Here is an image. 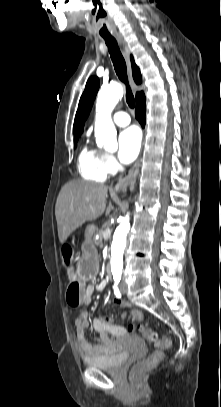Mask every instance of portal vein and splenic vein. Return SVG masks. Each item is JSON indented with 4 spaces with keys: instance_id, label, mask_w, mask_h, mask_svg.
<instances>
[{
    "instance_id": "obj_1",
    "label": "portal vein and splenic vein",
    "mask_w": 221,
    "mask_h": 407,
    "mask_svg": "<svg viewBox=\"0 0 221 407\" xmlns=\"http://www.w3.org/2000/svg\"><path fill=\"white\" fill-rule=\"evenodd\" d=\"M110 234H111V229L110 228H107L104 232H103V237H108V236H110Z\"/></svg>"
}]
</instances>
